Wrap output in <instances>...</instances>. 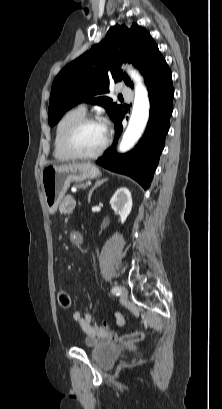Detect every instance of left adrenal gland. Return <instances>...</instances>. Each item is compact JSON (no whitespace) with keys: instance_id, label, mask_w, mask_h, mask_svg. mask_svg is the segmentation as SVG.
Segmentation results:
<instances>
[{"instance_id":"obj_1","label":"left adrenal gland","mask_w":222,"mask_h":409,"mask_svg":"<svg viewBox=\"0 0 222 409\" xmlns=\"http://www.w3.org/2000/svg\"><path fill=\"white\" fill-rule=\"evenodd\" d=\"M106 181H107V179H102V180H97V181L95 182L94 186L91 188V190L89 191V194H88V202H89V203L91 202V196H92L93 191H94L97 187L101 186V185H102L104 182H106Z\"/></svg>"}]
</instances>
